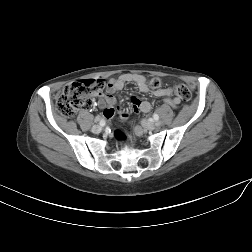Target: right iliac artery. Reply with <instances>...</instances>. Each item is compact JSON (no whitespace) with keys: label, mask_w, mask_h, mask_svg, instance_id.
Here are the masks:
<instances>
[{"label":"right iliac artery","mask_w":252,"mask_h":252,"mask_svg":"<svg viewBox=\"0 0 252 252\" xmlns=\"http://www.w3.org/2000/svg\"><path fill=\"white\" fill-rule=\"evenodd\" d=\"M100 126H101V127H104V126H105V120H104V119H101V121H100Z\"/></svg>","instance_id":"1"}]
</instances>
